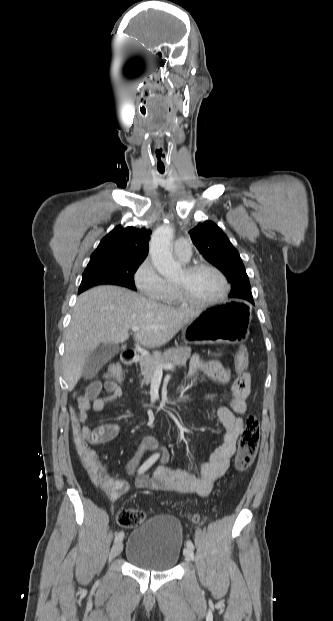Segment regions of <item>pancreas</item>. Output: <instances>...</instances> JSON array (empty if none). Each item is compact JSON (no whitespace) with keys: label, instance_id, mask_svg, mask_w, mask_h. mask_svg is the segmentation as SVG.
<instances>
[{"label":"pancreas","instance_id":"cf45deb5","mask_svg":"<svg viewBox=\"0 0 333 621\" xmlns=\"http://www.w3.org/2000/svg\"><path fill=\"white\" fill-rule=\"evenodd\" d=\"M191 355V348L187 346H180L177 348H170L163 353L156 352L152 355L144 356L140 359L141 374L144 376L141 385L143 383H149L155 374V370L159 365H165L173 363L177 366H184L187 359Z\"/></svg>","mask_w":333,"mask_h":621}]
</instances>
